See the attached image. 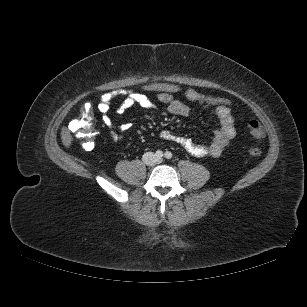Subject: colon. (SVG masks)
<instances>
[{"instance_id":"colon-1","label":"colon","mask_w":307,"mask_h":307,"mask_svg":"<svg viewBox=\"0 0 307 307\" xmlns=\"http://www.w3.org/2000/svg\"><path fill=\"white\" fill-rule=\"evenodd\" d=\"M197 102L206 106H229L231 100L223 96H205L201 95ZM248 129L258 140L264 138V129L261 123L256 119L248 121ZM70 130L81 140V145L87 150L95 147L97 131L93 122V109L90 103H87L81 109L78 117L74 119L69 126ZM248 154L252 157H258L262 154L260 147H251Z\"/></svg>"}]
</instances>
